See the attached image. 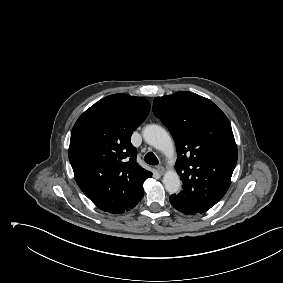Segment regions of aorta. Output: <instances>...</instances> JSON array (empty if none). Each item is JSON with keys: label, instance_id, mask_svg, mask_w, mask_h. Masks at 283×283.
I'll list each match as a JSON object with an SVG mask.
<instances>
[{"label": "aorta", "instance_id": "762f6f07", "mask_svg": "<svg viewBox=\"0 0 283 283\" xmlns=\"http://www.w3.org/2000/svg\"><path fill=\"white\" fill-rule=\"evenodd\" d=\"M143 138L146 143L163 152L166 156L174 155V145L167 131L159 125H147L143 129ZM165 189L170 193H177L181 188L180 178L175 170H169L163 177Z\"/></svg>", "mask_w": 283, "mask_h": 283}]
</instances>
